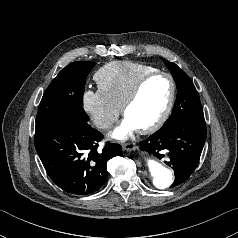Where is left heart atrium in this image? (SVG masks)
Segmentation results:
<instances>
[{
  "label": "left heart atrium",
  "mask_w": 238,
  "mask_h": 238,
  "mask_svg": "<svg viewBox=\"0 0 238 238\" xmlns=\"http://www.w3.org/2000/svg\"><path fill=\"white\" fill-rule=\"evenodd\" d=\"M135 130H137L135 124L125 117L120 125L112 131L111 136L117 140H124Z\"/></svg>",
  "instance_id": "1"
}]
</instances>
